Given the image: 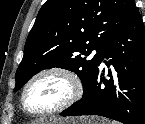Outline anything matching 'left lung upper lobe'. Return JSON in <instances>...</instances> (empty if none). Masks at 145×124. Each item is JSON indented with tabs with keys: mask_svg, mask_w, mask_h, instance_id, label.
Returning a JSON list of instances; mask_svg holds the SVG:
<instances>
[{
	"mask_svg": "<svg viewBox=\"0 0 145 124\" xmlns=\"http://www.w3.org/2000/svg\"><path fill=\"white\" fill-rule=\"evenodd\" d=\"M134 7L133 0H48L26 40L14 91L41 70L58 67L80 77L84 94ZM93 50L96 55L87 57Z\"/></svg>",
	"mask_w": 145,
	"mask_h": 124,
	"instance_id": "1",
	"label": "left lung upper lobe"
}]
</instances>
